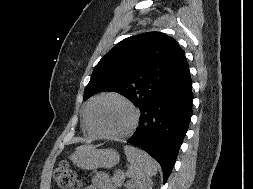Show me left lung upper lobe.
I'll return each mask as SVG.
<instances>
[{
    "mask_svg": "<svg viewBox=\"0 0 253 189\" xmlns=\"http://www.w3.org/2000/svg\"><path fill=\"white\" fill-rule=\"evenodd\" d=\"M186 61L175 39L164 33L128 37L95 66L84 100L102 91H113L141 109L174 79Z\"/></svg>",
    "mask_w": 253,
    "mask_h": 189,
    "instance_id": "left-lung-upper-lobe-1",
    "label": "left lung upper lobe"
}]
</instances>
